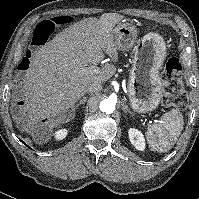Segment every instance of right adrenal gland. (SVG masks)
<instances>
[{
  "label": "right adrenal gland",
  "instance_id": "1",
  "mask_svg": "<svg viewBox=\"0 0 199 199\" xmlns=\"http://www.w3.org/2000/svg\"><path fill=\"white\" fill-rule=\"evenodd\" d=\"M86 100H87V97H83V99H81L80 102H79L77 105H75V106L73 107V114H74V115H75V110H76L77 108H79V106L84 105L85 102H86Z\"/></svg>",
  "mask_w": 199,
  "mask_h": 199
}]
</instances>
